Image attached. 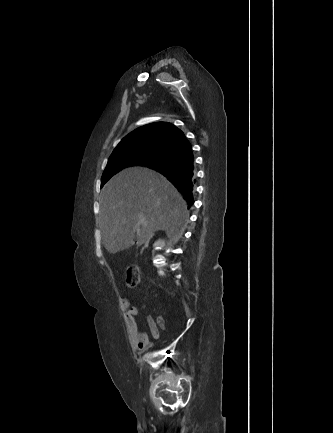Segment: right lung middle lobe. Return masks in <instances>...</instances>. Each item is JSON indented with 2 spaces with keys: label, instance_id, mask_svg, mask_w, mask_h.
I'll list each match as a JSON object with an SVG mask.
<instances>
[{
  "label": "right lung middle lobe",
  "instance_id": "dd1d6c3e",
  "mask_svg": "<svg viewBox=\"0 0 333 433\" xmlns=\"http://www.w3.org/2000/svg\"><path fill=\"white\" fill-rule=\"evenodd\" d=\"M171 151L147 145L115 148L101 178V187L121 169L134 165H148L167 157Z\"/></svg>",
  "mask_w": 333,
  "mask_h": 433
}]
</instances>
